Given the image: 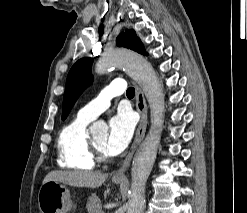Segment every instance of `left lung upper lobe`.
<instances>
[{
	"instance_id": "obj_1",
	"label": "left lung upper lobe",
	"mask_w": 247,
	"mask_h": 213,
	"mask_svg": "<svg viewBox=\"0 0 247 213\" xmlns=\"http://www.w3.org/2000/svg\"><path fill=\"white\" fill-rule=\"evenodd\" d=\"M116 44L119 47L130 48L138 53L146 54L143 44L134 30H127L125 33H121L116 39ZM92 63V58H82L70 69L63 97V120L68 116L80 94L92 83Z\"/></svg>"
}]
</instances>
